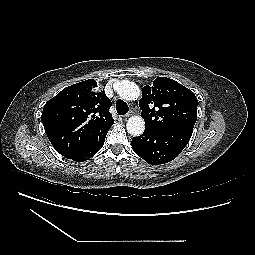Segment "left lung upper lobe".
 Wrapping results in <instances>:
<instances>
[{
	"label": "left lung upper lobe",
	"instance_id": "1",
	"mask_svg": "<svg viewBox=\"0 0 255 255\" xmlns=\"http://www.w3.org/2000/svg\"><path fill=\"white\" fill-rule=\"evenodd\" d=\"M146 129L170 130L192 134L197 120L195 94L177 81L158 77L142 89L139 101Z\"/></svg>",
	"mask_w": 255,
	"mask_h": 255
}]
</instances>
